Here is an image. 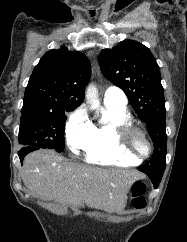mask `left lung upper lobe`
I'll return each instance as SVG.
<instances>
[{
    "label": "left lung upper lobe",
    "mask_w": 187,
    "mask_h": 242,
    "mask_svg": "<svg viewBox=\"0 0 187 242\" xmlns=\"http://www.w3.org/2000/svg\"><path fill=\"white\" fill-rule=\"evenodd\" d=\"M99 65L103 75L125 92L154 143L151 159L139 170L163 175L167 144L166 110L160 68L154 56L141 43L125 40L112 49L102 50Z\"/></svg>",
    "instance_id": "5c2ea615"
}]
</instances>
